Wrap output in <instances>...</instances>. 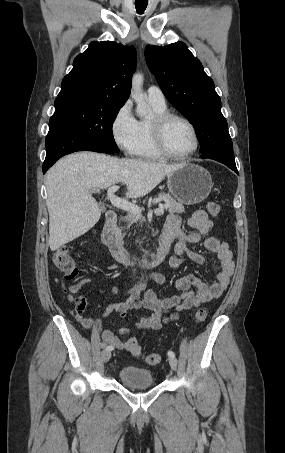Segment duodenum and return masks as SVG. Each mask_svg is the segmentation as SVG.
<instances>
[{"label":"duodenum","mask_w":285,"mask_h":453,"mask_svg":"<svg viewBox=\"0 0 285 453\" xmlns=\"http://www.w3.org/2000/svg\"><path fill=\"white\" fill-rule=\"evenodd\" d=\"M101 239L116 260L122 263L135 262L144 268H151L160 264L170 250V242L161 238L157 251L150 257H143L130 253L119 238L117 231V214L112 210L107 211L105 214Z\"/></svg>","instance_id":"410a0bca"}]
</instances>
